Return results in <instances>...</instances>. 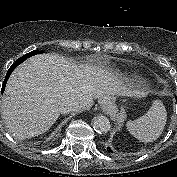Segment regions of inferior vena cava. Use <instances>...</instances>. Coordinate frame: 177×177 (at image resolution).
I'll return each mask as SVG.
<instances>
[{
    "label": "inferior vena cava",
    "instance_id": "inferior-vena-cava-1",
    "mask_svg": "<svg viewBox=\"0 0 177 177\" xmlns=\"http://www.w3.org/2000/svg\"><path fill=\"white\" fill-rule=\"evenodd\" d=\"M79 107H80V104H79L78 101L68 99V100L63 101L60 104L59 112L62 113V114H67L69 112L78 110Z\"/></svg>",
    "mask_w": 177,
    "mask_h": 177
}]
</instances>
